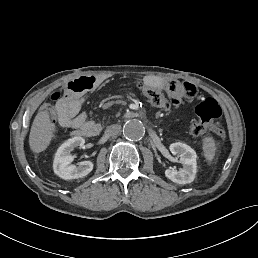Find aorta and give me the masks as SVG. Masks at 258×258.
Here are the masks:
<instances>
[{"label":"aorta","mask_w":258,"mask_h":258,"mask_svg":"<svg viewBox=\"0 0 258 258\" xmlns=\"http://www.w3.org/2000/svg\"><path fill=\"white\" fill-rule=\"evenodd\" d=\"M144 134V125L137 119L129 120L123 126V135L130 141H139Z\"/></svg>","instance_id":"1"}]
</instances>
